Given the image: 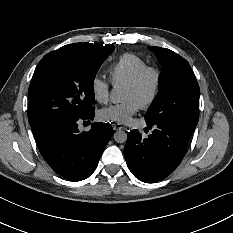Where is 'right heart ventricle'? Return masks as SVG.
Instances as JSON below:
<instances>
[{
	"label": "right heart ventricle",
	"instance_id": "right-heart-ventricle-1",
	"mask_svg": "<svg viewBox=\"0 0 233 233\" xmlns=\"http://www.w3.org/2000/svg\"><path fill=\"white\" fill-rule=\"evenodd\" d=\"M146 61L135 53H124L119 56L109 69V76L114 85H123L128 82Z\"/></svg>",
	"mask_w": 233,
	"mask_h": 233
}]
</instances>
